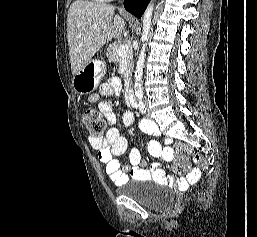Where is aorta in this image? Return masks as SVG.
Returning a JSON list of instances; mask_svg holds the SVG:
<instances>
[{"mask_svg": "<svg viewBox=\"0 0 257 237\" xmlns=\"http://www.w3.org/2000/svg\"><path fill=\"white\" fill-rule=\"evenodd\" d=\"M153 1L148 5L147 9L144 12L142 22H143V31L141 36L142 47L138 56V60L136 63L135 69V83H134V91L135 95L138 99H142L143 97V87H142V75L144 62L146 57V48L149 40L150 28H151V19L153 15Z\"/></svg>", "mask_w": 257, "mask_h": 237, "instance_id": "1", "label": "aorta"}]
</instances>
